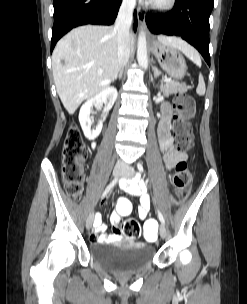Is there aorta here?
Returning <instances> with one entry per match:
<instances>
[{"mask_svg":"<svg viewBox=\"0 0 247 304\" xmlns=\"http://www.w3.org/2000/svg\"><path fill=\"white\" fill-rule=\"evenodd\" d=\"M137 60L143 69L148 67L147 41L144 31H141L138 36L137 44Z\"/></svg>","mask_w":247,"mask_h":304,"instance_id":"obj_1","label":"aorta"}]
</instances>
